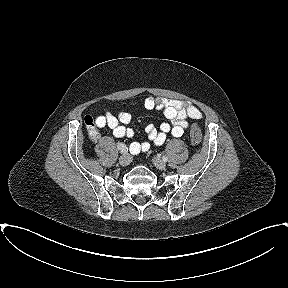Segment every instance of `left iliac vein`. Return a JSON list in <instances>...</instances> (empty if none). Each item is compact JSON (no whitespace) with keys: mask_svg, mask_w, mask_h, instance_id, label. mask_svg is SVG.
Segmentation results:
<instances>
[{"mask_svg":"<svg viewBox=\"0 0 288 288\" xmlns=\"http://www.w3.org/2000/svg\"><path fill=\"white\" fill-rule=\"evenodd\" d=\"M153 164L155 165L156 168L161 170L166 168V163L157 157L153 158Z\"/></svg>","mask_w":288,"mask_h":288,"instance_id":"left-iliac-vein-1","label":"left iliac vein"}]
</instances>
